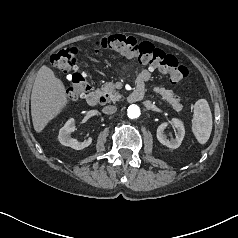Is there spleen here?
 <instances>
[{
  "mask_svg": "<svg viewBox=\"0 0 238 238\" xmlns=\"http://www.w3.org/2000/svg\"><path fill=\"white\" fill-rule=\"evenodd\" d=\"M212 113L206 99H199L194 105L192 132L200 144H205L212 131Z\"/></svg>",
  "mask_w": 238,
  "mask_h": 238,
  "instance_id": "3e777b00",
  "label": "spleen"
}]
</instances>
